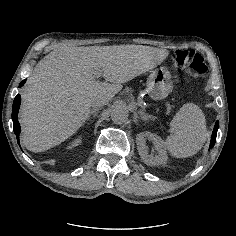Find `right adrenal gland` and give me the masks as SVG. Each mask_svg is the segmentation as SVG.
<instances>
[{"label":"right adrenal gland","mask_w":236,"mask_h":236,"mask_svg":"<svg viewBox=\"0 0 236 236\" xmlns=\"http://www.w3.org/2000/svg\"><path fill=\"white\" fill-rule=\"evenodd\" d=\"M100 109H101V107H94V108L91 110L88 119H89V118L94 119V118H95V115L97 114V111L100 110Z\"/></svg>","instance_id":"2a0ac1e0"}]
</instances>
